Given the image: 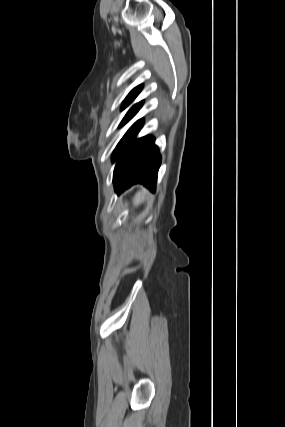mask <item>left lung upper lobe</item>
<instances>
[{
    "instance_id": "obj_1",
    "label": "left lung upper lobe",
    "mask_w": 285,
    "mask_h": 427,
    "mask_svg": "<svg viewBox=\"0 0 285 427\" xmlns=\"http://www.w3.org/2000/svg\"><path fill=\"white\" fill-rule=\"evenodd\" d=\"M142 89V85H139L137 87H135L126 97L122 108L124 109L125 107H127L135 98L136 96L140 93ZM143 101L135 104L125 115V117L123 118L122 122L120 125H124L126 122H128L136 113L137 111L140 109V107L142 106Z\"/></svg>"
}]
</instances>
